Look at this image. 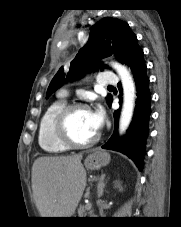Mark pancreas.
<instances>
[{"label":"pancreas","mask_w":181,"mask_h":227,"mask_svg":"<svg viewBox=\"0 0 181 227\" xmlns=\"http://www.w3.org/2000/svg\"><path fill=\"white\" fill-rule=\"evenodd\" d=\"M86 206H80L79 209H78V214H79V217H86Z\"/></svg>","instance_id":"obj_1"}]
</instances>
